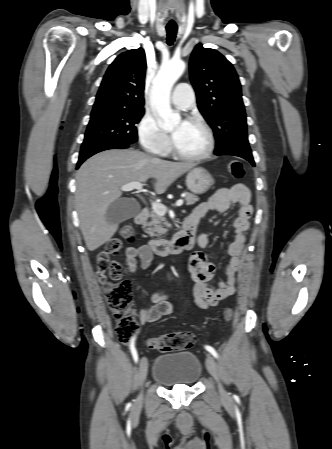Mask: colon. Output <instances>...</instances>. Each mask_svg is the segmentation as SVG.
<instances>
[{
    "mask_svg": "<svg viewBox=\"0 0 332 449\" xmlns=\"http://www.w3.org/2000/svg\"><path fill=\"white\" fill-rule=\"evenodd\" d=\"M228 172L233 178L240 179L244 176V166L242 162L230 161L227 166ZM121 238L110 240L104 250L96 257L98 274L104 280L108 272L112 282H105L103 289L106 301L113 316L117 319L116 333L120 341L129 343L135 338L138 332V322L134 317L131 308L133 300L132 285L128 280H119L121 276V266L119 263L111 261L110 257L120 252L122 239L132 241L134 239V228L125 226L120 232ZM233 311L225 309L224 319L230 321ZM194 343V335L191 332H174L156 338H150L147 344L150 348L160 352L181 351L190 348Z\"/></svg>",
    "mask_w": 332,
    "mask_h": 449,
    "instance_id": "obj_1",
    "label": "colon"
}]
</instances>
